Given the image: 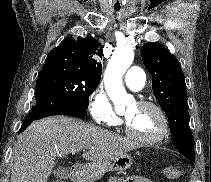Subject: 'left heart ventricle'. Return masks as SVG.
Listing matches in <instances>:
<instances>
[{"label": "left heart ventricle", "mask_w": 211, "mask_h": 182, "mask_svg": "<svg viewBox=\"0 0 211 182\" xmlns=\"http://www.w3.org/2000/svg\"><path fill=\"white\" fill-rule=\"evenodd\" d=\"M124 117L134 134L142 138L155 136L161 129V120L157 112L151 108L132 105Z\"/></svg>", "instance_id": "obj_1"}]
</instances>
